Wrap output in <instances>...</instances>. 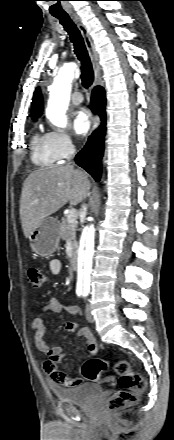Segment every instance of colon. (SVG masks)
<instances>
[{
    "mask_svg": "<svg viewBox=\"0 0 174 440\" xmlns=\"http://www.w3.org/2000/svg\"><path fill=\"white\" fill-rule=\"evenodd\" d=\"M28 277L34 287L42 286L45 280L43 271L38 267H30L28 269ZM108 367L109 362L105 360L98 358L88 359L82 366L83 378L86 381H97ZM113 368L119 376L118 384L120 390L108 399V409L119 410L136 404L146 388L145 380L126 360L115 361ZM106 381L112 382V379L108 378Z\"/></svg>",
    "mask_w": 174,
    "mask_h": 440,
    "instance_id": "colon-1",
    "label": "colon"
}]
</instances>
